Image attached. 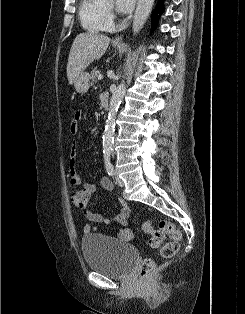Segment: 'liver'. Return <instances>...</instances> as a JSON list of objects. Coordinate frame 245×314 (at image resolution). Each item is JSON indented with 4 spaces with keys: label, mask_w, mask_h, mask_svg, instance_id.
Wrapping results in <instances>:
<instances>
[{
    "label": "liver",
    "mask_w": 245,
    "mask_h": 314,
    "mask_svg": "<svg viewBox=\"0 0 245 314\" xmlns=\"http://www.w3.org/2000/svg\"><path fill=\"white\" fill-rule=\"evenodd\" d=\"M110 43L106 35L86 32L76 36L70 49L67 63V78L69 84L92 63L102 57Z\"/></svg>",
    "instance_id": "6515ba94"
}]
</instances>
